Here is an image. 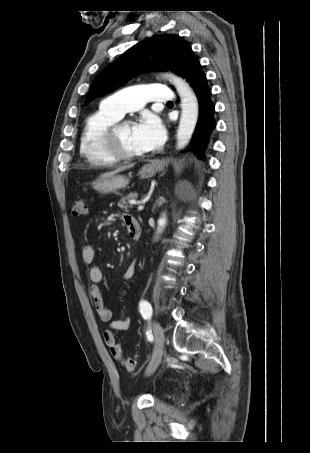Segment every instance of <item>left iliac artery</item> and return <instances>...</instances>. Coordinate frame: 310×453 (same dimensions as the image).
Returning <instances> with one entry per match:
<instances>
[{"mask_svg":"<svg viewBox=\"0 0 310 453\" xmlns=\"http://www.w3.org/2000/svg\"><path fill=\"white\" fill-rule=\"evenodd\" d=\"M140 306V312L142 314V316L144 317V319H150L151 316H152V307H151V304L146 301V300H142L139 304Z\"/></svg>","mask_w":310,"mask_h":453,"instance_id":"obj_1","label":"left iliac artery"}]
</instances>
